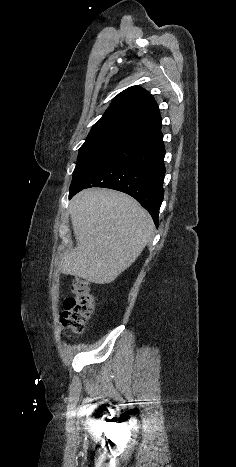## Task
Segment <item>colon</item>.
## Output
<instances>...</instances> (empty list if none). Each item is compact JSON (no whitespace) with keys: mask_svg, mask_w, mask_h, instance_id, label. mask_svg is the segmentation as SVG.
Listing matches in <instances>:
<instances>
[{"mask_svg":"<svg viewBox=\"0 0 236 467\" xmlns=\"http://www.w3.org/2000/svg\"><path fill=\"white\" fill-rule=\"evenodd\" d=\"M70 286L74 295L64 301L61 324L65 330L81 333L93 313L94 297L89 282L83 278L73 277Z\"/></svg>","mask_w":236,"mask_h":467,"instance_id":"colon-1","label":"colon"}]
</instances>
